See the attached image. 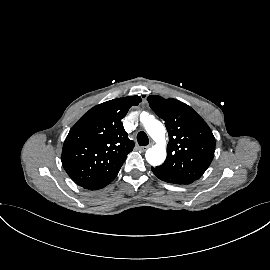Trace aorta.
Listing matches in <instances>:
<instances>
[{
	"mask_svg": "<svg viewBox=\"0 0 270 270\" xmlns=\"http://www.w3.org/2000/svg\"><path fill=\"white\" fill-rule=\"evenodd\" d=\"M144 126L147 133L156 142V145L146 151V160L152 166L161 165L166 159L165 128L160 121L154 118H148L144 122Z\"/></svg>",
	"mask_w": 270,
	"mask_h": 270,
	"instance_id": "762f6f07",
	"label": "aorta"
}]
</instances>
